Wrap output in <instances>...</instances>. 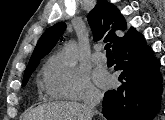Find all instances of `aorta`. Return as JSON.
Listing matches in <instances>:
<instances>
[{
    "mask_svg": "<svg viewBox=\"0 0 165 120\" xmlns=\"http://www.w3.org/2000/svg\"><path fill=\"white\" fill-rule=\"evenodd\" d=\"M64 58L70 62H75L79 57V48L76 43H69L62 52Z\"/></svg>",
    "mask_w": 165,
    "mask_h": 120,
    "instance_id": "aorta-1",
    "label": "aorta"
}]
</instances>
